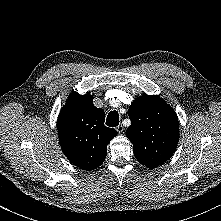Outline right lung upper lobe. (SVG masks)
Segmentation results:
<instances>
[{"mask_svg": "<svg viewBox=\"0 0 221 221\" xmlns=\"http://www.w3.org/2000/svg\"><path fill=\"white\" fill-rule=\"evenodd\" d=\"M105 113L93 104L89 93L72 92L60 111L57 128L61 149L68 160L84 170L99 167L107 145L117 131L104 125Z\"/></svg>", "mask_w": 221, "mask_h": 221, "instance_id": "cb5924a9", "label": "right lung upper lobe"}]
</instances>
